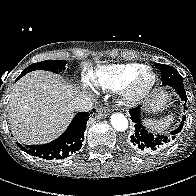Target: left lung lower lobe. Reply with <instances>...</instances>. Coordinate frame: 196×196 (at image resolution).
Listing matches in <instances>:
<instances>
[{
    "label": "left lung lower lobe",
    "mask_w": 196,
    "mask_h": 196,
    "mask_svg": "<svg viewBox=\"0 0 196 196\" xmlns=\"http://www.w3.org/2000/svg\"><path fill=\"white\" fill-rule=\"evenodd\" d=\"M159 70L161 71L162 82L175 89L184 103V110H187V96L184 90L183 81L180 80L178 72L167 65L160 66ZM129 113L131 115V120L135 123V131L127 141L126 145L129 150L139 155H152L162 151L173 140H175L177 134L181 132L183 123L186 120V116H183L178 128L170 132L169 135L163 134L154 136L142 125L140 107L130 109Z\"/></svg>",
    "instance_id": "obj_1"
}]
</instances>
